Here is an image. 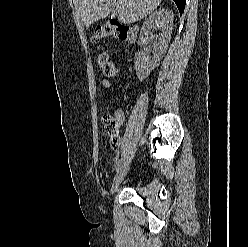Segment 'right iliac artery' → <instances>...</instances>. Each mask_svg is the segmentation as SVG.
<instances>
[{
  "mask_svg": "<svg viewBox=\"0 0 248 247\" xmlns=\"http://www.w3.org/2000/svg\"><path fill=\"white\" fill-rule=\"evenodd\" d=\"M122 162H123V158H121V159L117 162V164H116V172H119V170L121 169Z\"/></svg>",
  "mask_w": 248,
  "mask_h": 247,
  "instance_id": "obj_1",
  "label": "right iliac artery"
}]
</instances>
